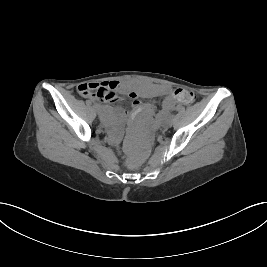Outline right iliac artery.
I'll list each match as a JSON object with an SVG mask.
<instances>
[{
	"label": "right iliac artery",
	"mask_w": 267,
	"mask_h": 267,
	"mask_svg": "<svg viewBox=\"0 0 267 267\" xmlns=\"http://www.w3.org/2000/svg\"><path fill=\"white\" fill-rule=\"evenodd\" d=\"M93 108L97 109L98 108V105L97 104H94L93 105Z\"/></svg>",
	"instance_id": "right-iliac-artery-1"
}]
</instances>
